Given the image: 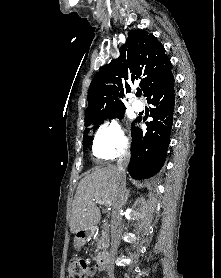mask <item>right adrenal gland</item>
<instances>
[{"instance_id": "2a0ac1e0", "label": "right adrenal gland", "mask_w": 221, "mask_h": 278, "mask_svg": "<svg viewBox=\"0 0 221 278\" xmlns=\"http://www.w3.org/2000/svg\"><path fill=\"white\" fill-rule=\"evenodd\" d=\"M130 196V189L126 190V194H125V201L128 200V197Z\"/></svg>"}]
</instances>
